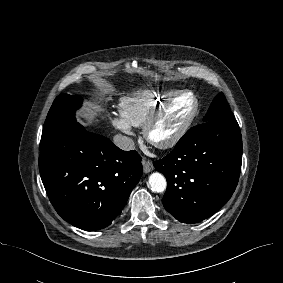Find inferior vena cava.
I'll use <instances>...</instances> for the list:
<instances>
[{
  "label": "inferior vena cava",
  "mask_w": 283,
  "mask_h": 283,
  "mask_svg": "<svg viewBox=\"0 0 283 283\" xmlns=\"http://www.w3.org/2000/svg\"><path fill=\"white\" fill-rule=\"evenodd\" d=\"M113 143L122 150L130 151L135 149L134 141L122 134H117L113 137Z\"/></svg>",
  "instance_id": "1"
}]
</instances>
